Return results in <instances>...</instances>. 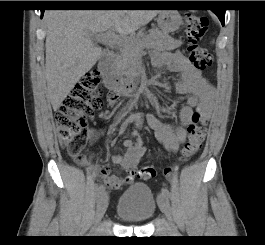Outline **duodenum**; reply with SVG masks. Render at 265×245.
Here are the masks:
<instances>
[{"label":"duodenum","mask_w":265,"mask_h":245,"mask_svg":"<svg viewBox=\"0 0 265 245\" xmlns=\"http://www.w3.org/2000/svg\"><path fill=\"white\" fill-rule=\"evenodd\" d=\"M99 72L104 85L113 93L128 97L141 90V86L135 79L122 78L116 74L115 59L112 53L101 60Z\"/></svg>","instance_id":"410a0bca"}]
</instances>
